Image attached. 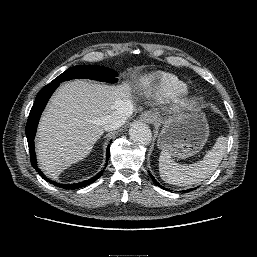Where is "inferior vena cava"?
<instances>
[{"instance_id": "obj_1", "label": "inferior vena cava", "mask_w": 257, "mask_h": 257, "mask_svg": "<svg viewBox=\"0 0 257 257\" xmlns=\"http://www.w3.org/2000/svg\"><path fill=\"white\" fill-rule=\"evenodd\" d=\"M133 113L132 105H122L120 109L114 110L100 120L101 126L106 131L120 128Z\"/></svg>"}]
</instances>
